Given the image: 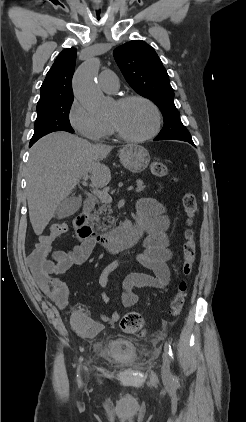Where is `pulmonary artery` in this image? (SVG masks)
<instances>
[{
  "instance_id": "pulmonary-artery-1",
  "label": "pulmonary artery",
  "mask_w": 246,
  "mask_h": 422,
  "mask_svg": "<svg viewBox=\"0 0 246 422\" xmlns=\"http://www.w3.org/2000/svg\"><path fill=\"white\" fill-rule=\"evenodd\" d=\"M98 84L106 92H115L119 88L118 78L110 70H105L99 75Z\"/></svg>"
}]
</instances>
